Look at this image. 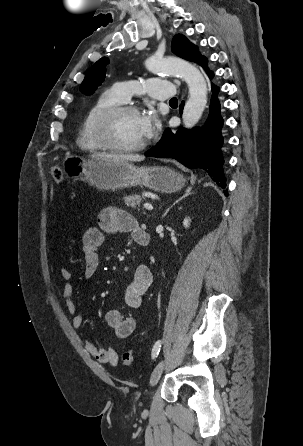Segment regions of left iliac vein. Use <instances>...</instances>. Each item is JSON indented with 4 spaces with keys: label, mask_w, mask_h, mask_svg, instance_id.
<instances>
[{
    "label": "left iliac vein",
    "mask_w": 303,
    "mask_h": 446,
    "mask_svg": "<svg viewBox=\"0 0 303 446\" xmlns=\"http://www.w3.org/2000/svg\"><path fill=\"white\" fill-rule=\"evenodd\" d=\"M164 366H165V360L160 361L154 368L151 377H150V384L151 386H154L157 384V382L159 381L162 372L164 370Z\"/></svg>",
    "instance_id": "4c4485c4"
}]
</instances>
